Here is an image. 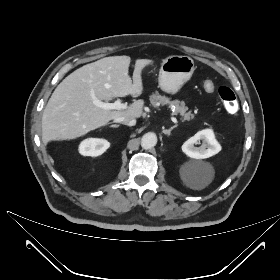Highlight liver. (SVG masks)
I'll list each match as a JSON object with an SVG mask.
<instances>
[{"mask_svg":"<svg viewBox=\"0 0 280 280\" xmlns=\"http://www.w3.org/2000/svg\"><path fill=\"white\" fill-rule=\"evenodd\" d=\"M130 61L125 55L105 57L68 75L56 87L44 109L43 142L75 139L120 116L140 118L144 106L141 99L121 110H104L94 104L95 99L103 102L114 97L141 95V72L151 61L136 60L132 78L128 71Z\"/></svg>","mask_w":280,"mask_h":280,"instance_id":"6515ba94","label":"liver"}]
</instances>
